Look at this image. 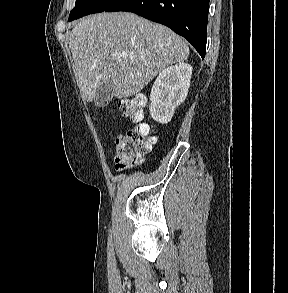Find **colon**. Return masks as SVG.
<instances>
[{"label":"colon","mask_w":288,"mask_h":293,"mask_svg":"<svg viewBox=\"0 0 288 293\" xmlns=\"http://www.w3.org/2000/svg\"><path fill=\"white\" fill-rule=\"evenodd\" d=\"M144 107V98L139 95L120 103L123 117L135 122L136 126L116 140L115 163L118 171L140 164L143 155L156 142V137L150 135L149 126L142 122Z\"/></svg>","instance_id":"obj_1"}]
</instances>
